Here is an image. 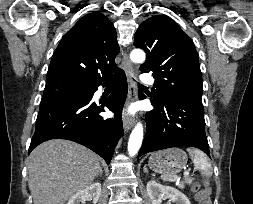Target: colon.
<instances>
[{
  "label": "colon",
  "instance_id": "obj_1",
  "mask_svg": "<svg viewBox=\"0 0 253 204\" xmlns=\"http://www.w3.org/2000/svg\"><path fill=\"white\" fill-rule=\"evenodd\" d=\"M194 191L196 193V198L199 201V204H211L209 198V190L207 188L195 187Z\"/></svg>",
  "mask_w": 253,
  "mask_h": 204
}]
</instances>
